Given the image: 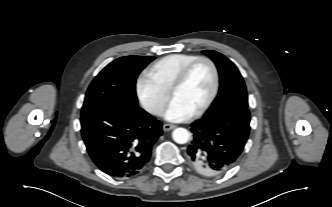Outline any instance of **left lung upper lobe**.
I'll return each instance as SVG.
<instances>
[{
	"label": "left lung upper lobe",
	"instance_id": "5c2ea615",
	"mask_svg": "<svg viewBox=\"0 0 332 207\" xmlns=\"http://www.w3.org/2000/svg\"><path fill=\"white\" fill-rule=\"evenodd\" d=\"M203 53L215 62L220 76L218 95L204 116L234 106L247 108L246 86L234 63L216 51L205 50Z\"/></svg>",
	"mask_w": 332,
	"mask_h": 207
}]
</instances>
